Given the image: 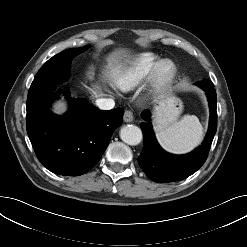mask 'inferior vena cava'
Returning a JSON list of instances; mask_svg holds the SVG:
<instances>
[{"instance_id":"1","label":"inferior vena cava","mask_w":247,"mask_h":247,"mask_svg":"<svg viewBox=\"0 0 247 247\" xmlns=\"http://www.w3.org/2000/svg\"><path fill=\"white\" fill-rule=\"evenodd\" d=\"M96 105L102 110H110L114 108L115 102L110 98H101L96 100Z\"/></svg>"}]
</instances>
